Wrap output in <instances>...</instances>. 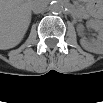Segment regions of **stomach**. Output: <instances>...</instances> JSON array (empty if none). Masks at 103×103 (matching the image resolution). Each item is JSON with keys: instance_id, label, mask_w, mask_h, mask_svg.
<instances>
[{"instance_id": "obj_1", "label": "stomach", "mask_w": 103, "mask_h": 103, "mask_svg": "<svg viewBox=\"0 0 103 103\" xmlns=\"http://www.w3.org/2000/svg\"><path fill=\"white\" fill-rule=\"evenodd\" d=\"M85 2L87 3L88 6L91 5V2H89V1H85Z\"/></svg>"}]
</instances>
